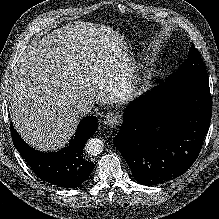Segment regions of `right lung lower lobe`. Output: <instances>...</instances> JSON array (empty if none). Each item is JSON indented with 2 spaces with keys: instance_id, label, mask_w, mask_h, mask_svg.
I'll use <instances>...</instances> for the list:
<instances>
[{
  "instance_id": "98d812e1",
  "label": "right lung lower lobe",
  "mask_w": 219,
  "mask_h": 219,
  "mask_svg": "<svg viewBox=\"0 0 219 219\" xmlns=\"http://www.w3.org/2000/svg\"><path fill=\"white\" fill-rule=\"evenodd\" d=\"M98 128L95 116L84 117L69 144L58 152L43 153L27 145L11 124V137L18 152L33 172L42 180L64 188L81 185L91 174L94 163L85 159L86 140Z\"/></svg>"
}]
</instances>
